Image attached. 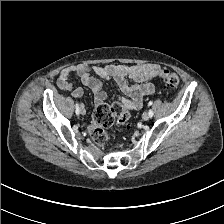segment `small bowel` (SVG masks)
<instances>
[{"instance_id": "1", "label": "small bowel", "mask_w": 224, "mask_h": 224, "mask_svg": "<svg viewBox=\"0 0 224 224\" xmlns=\"http://www.w3.org/2000/svg\"><path fill=\"white\" fill-rule=\"evenodd\" d=\"M160 69V66L155 64L94 66L78 64L64 68L60 72L58 86L62 90L72 91V95L76 98L81 97L83 90L73 88L69 80L71 74H76L82 83L92 91L94 103L99 106L106 100V92L103 83L97 77L113 80L120 91L128 96V98H120L121 104L128 110H138L143 105V97L155 93V86L148 81L157 77ZM128 80H133L135 83L130 84Z\"/></svg>"}]
</instances>
